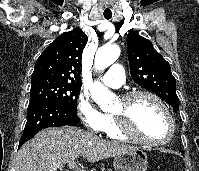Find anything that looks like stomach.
Returning <instances> with one entry per match:
<instances>
[{"mask_svg": "<svg viewBox=\"0 0 199 171\" xmlns=\"http://www.w3.org/2000/svg\"><path fill=\"white\" fill-rule=\"evenodd\" d=\"M147 165V153L140 149L118 154L113 161L115 171H146Z\"/></svg>", "mask_w": 199, "mask_h": 171, "instance_id": "stomach-1", "label": "stomach"}]
</instances>
